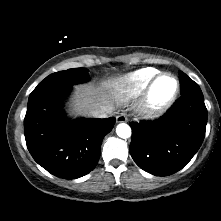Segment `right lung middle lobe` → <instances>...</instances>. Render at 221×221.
<instances>
[{"label": "right lung middle lobe", "instance_id": "obj_1", "mask_svg": "<svg viewBox=\"0 0 221 221\" xmlns=\"http://www.w3.org/2000/svg\"><path fill=\"white\" fill-rule=\"evenodd\" d=\"M89 80L88 70L85 68H74L60 71L47 76L32 91L29 98L34 97L42 92L55 88L70 87L74 84L86 82Z\"/></svg>", "mask_w": 221, "mask_h": 221}]
</instances>
